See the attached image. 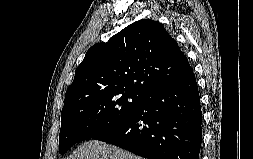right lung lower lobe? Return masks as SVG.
<instances>
[{
	"label": "right lung lower lobe",
	"instance_id": "right-lung-lower-lobe-1",
	"mask_svg": "<svg viewBox=\"0 0 253 159\" xmlns=\"http://www.w3.org/2000/svg\"><path fill=\"white\" fill-rule=\"evenodd\" d=\"M201 122L200 98L192 72L149 92L128 118L93 139L149 159H199Z\"/></svg>",
	"mask_w": 253,
	"mask_h": 159
}]
</instances>
